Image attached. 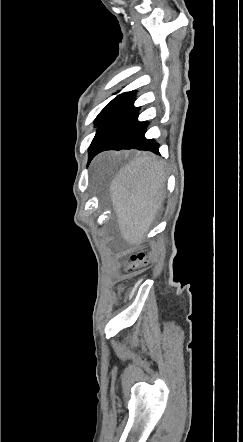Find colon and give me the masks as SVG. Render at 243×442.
<instances>
[{
	"mask_svg": "<svg viewBox=\"0 0 243 442\" xmlns=\"http://www.w3.org/2000/svg\"><path fill=\"white\" fill-rule=\"evenodd\" d=\"M154 257L149 254L129 255L128 261L121 268L124 272H131L132 274H139L142 269L148 270Z\"/></svg>",
	"mask_w": 243,
	"mask_h": 442,
	"instance_id": "5ec220e1",
	"label": "colon"
}]
</instances>
